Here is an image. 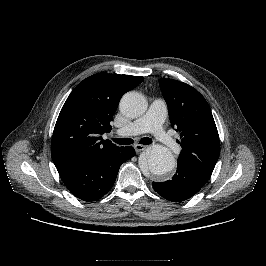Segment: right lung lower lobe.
<instances>
[{
	"label": "right lung lower lobe",
	"instance_id": "right-lung-lower-lobe-1",
	"mask_svg": "<svg viewBox=\"0 0 266 266\" xmlns=\"http://www.w3.org/2000/svg\"><path fill=\"white\" fill-rule=\"evenodd\" d=\"M135 155L131 146L117 147L88 158L57 166L59 175L77 198L96 201L113 186L121 164Z\"/></svg>",
	"mask_w": 266,
	"mask_h": 266
}]
</instances>
